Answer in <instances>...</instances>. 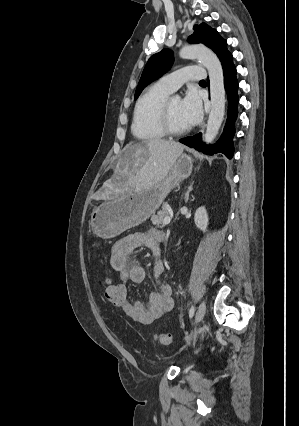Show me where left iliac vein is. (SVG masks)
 Wrapping results in <instances>:
<instances>
[{"instance_id": "1", "label": "left iliac vein", "mask_w": 299, "mask_h": 426, "mask_svg": "<svg viewBox=\"0 0 299 426\" xmlns=\"http://www.w3.org/2000/svg\"><path fill=\"white\" fill-rule=\"evenodd\" d=\"M206 312V303L205 301H202L197 309L196 315H195V324H198L205 316Z\"/></svg>"}]
</instances>
